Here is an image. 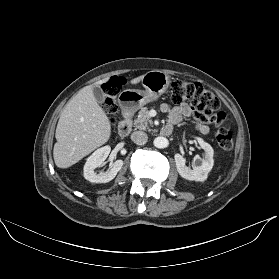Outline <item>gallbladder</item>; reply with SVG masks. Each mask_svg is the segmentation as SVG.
<instances>
[{"label": "gallbladder", "instance_id": "bac80fb5", "mask_svg": "<svg viewBox=\"0 0 279 279\" xmlns=\"http://www.w3.org/2000/svg\"><path fill=\"white\" fill-rule=\"evenodd\" d=\"M93 94L98 103H103L105 101V93L99 86L93 87Z\"/></svg>", "mask_w": 279, "mask_h": 279}]
</instances>
